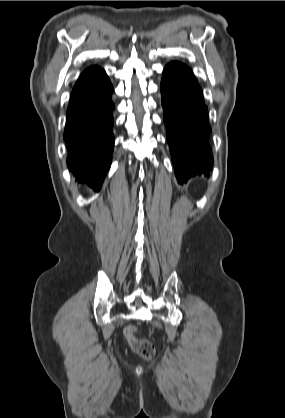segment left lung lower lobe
Returning <instances> with one entry per match:
<instances>
[{
    "label": "left lung lower lobe",
    "mask_w": 285,
    "mask_h": 418,
    "mask_svg": "<svg viewBox=\"0 0 285 418\" xmlns=\"http://www.w3.org/2000/svg\"><path fill=\"white\" fill-rule=\"evenodd\" d=\"M166 137L180 184L211 170V128L202 88L184 63L170 62L160 85Z\"/></svg>",
    "instance_id": "left-lung-lower-lobe-1"
}]
</instances>
